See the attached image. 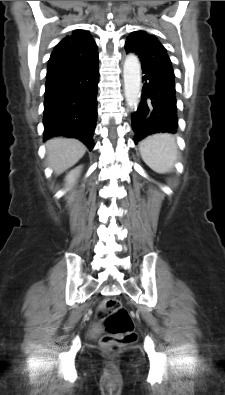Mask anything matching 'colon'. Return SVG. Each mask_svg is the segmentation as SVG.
Returning <instances> with one entry per match:
<instances>
[{
  "label": "colon",
  "mask_w": 225,
  "mask_h": 395,
  "mask_svg": "<svg viewBox=\"0 0 225 395\" xmlns=\"http://www.w3.org/2000/svg\"><path fill=\"white\" fill-rule=\"evenodd\" d=\"M98 315L102 321L104 335L100 340L102 348L109 353H117L124 346L137 340L133 319L120 302L114 298L106 299Z\"/></svg>",
  "instance_id": "obj_1"
}]
</instances>
